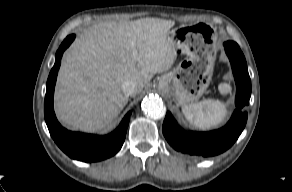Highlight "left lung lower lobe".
Wrapping results in <instances>:
<instances>
[{
	"label": "left lung lower lobe",
	"instance_id": "1",
	"mask_svg": "<svg viewBox=\"0 0 292 192\" xmlns=\"http://www.w3.org/2000/svg\"><path fill=\"white\" fill-rule=\"evenodd\" d=\"M224 47L237 85V109L223 128L211 132H186L178 126L171 113L167 112L162 127L163 134L177 151L203 157L220 154L234 144L245 127L248 114L243 112V107L249 104L251 95L246 60L237 43L227 41Z\"/></svg>",
	"mask_w": 292,
	"mask_h": 192
}]
</instances>
